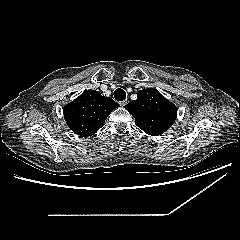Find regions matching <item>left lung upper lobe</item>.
I'll list each match as a JSON object with an SVG mask.
<instances>
[{
    "label": "left lung upper lobe",
    "instance_id": "left-lung-upper-lobe-1",
    "mask_svg": "<svg viewBox=\"0 0 240 240\" xmlns=\"http://www.w3.org/2000/svg\"><path fill=\"white\" fill-rule=\"evenodd\" d=\"M125 108L135 118V124L152 136L168 130L177 114L176 106L154 88L138 91L137 99L129 102Z\"/></svg>",
    "mask_w": 240,
    "mask_h": 240
}]
</instances>
